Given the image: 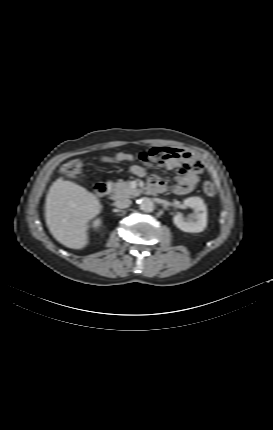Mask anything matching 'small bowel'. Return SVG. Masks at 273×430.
Listing matches in <instances>:
<instances>
[{
	"label": "small bowel",
	"mask_w": 273,
	"mask_h": 430,
	"mask_svg": "<svg viewBox=\"0 0 273 430\" xmlns=\"http://www.w3.org/2000/svg\"><path fill=\"white\" fill-rule=\"evenodd\" d=\"M117 161H133V155L119 152L115 156ZM142 163L151 166L155 163L164 165L168 170L180 169L177 182L173 187L176 194H186L191 192L199 181V176L203 173L204 167L190 152L172 147H153L139 155ZM130 171L137 176H145L144 167L133 165ZM166 182L156 174L149 177V190L151 192H165Z\"/></svg>",
	"instance_id": "obj_1"
}]
</instances>
